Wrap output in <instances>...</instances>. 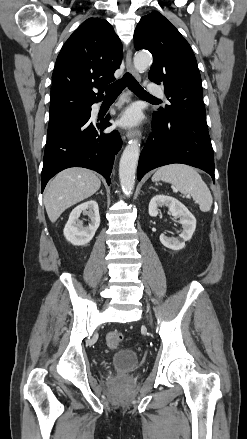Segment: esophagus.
Listing matches in <instances>:
<instances>
[{
  "label": "esophagus",
  "instance_id": "1",
  "mask_svg": "<svg viewBox=\"0 0 247 439\" xmlns=\"http://www.w3.org/2000/svg\"><path fill=\"white\" fill-rule=\"evenodd\" d=\"M126 68H127V71L131 75H133L137 80H140V75H139V73L137 72V70L135 69V67L133 66V63H132V52H131V50H129L127 52V54H126ZM140 136H141V132L139 130H128L126 132V137L128 139L135 138V137L139 138Z\"/></svg>",
  "mask_w": 247,
  "mask_h": 439
}]
</instances>
